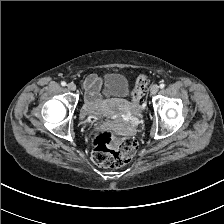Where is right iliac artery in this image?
<instances>
[{"label": "right iliac artery", "mask_w": 224, "mask_h": 224, "mask_svg": "<svg viewBox=\"0 0 224 224\" xmlns=\"http://www.w3.org/2000/svg\"><path fill=\"white\" fill-rule=\"evenodd\" d=\"M61 85H62V86H66V82H65V81H62V82H61Z\"/></svg>", "instance_id": "right-iliac-artery-1"}]
</instances>
